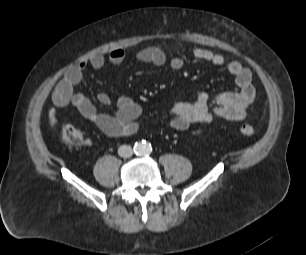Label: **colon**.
<instances>
[{"label":"colon","mask_w":306,"mask_h":255,"mask_svg":"<svg viewBox=\"0 0 306 255\" xmlns=\"http://www.w3.org/2000/svg\"><path fill=\"white\" fill-rule=\"evenodd\" d=\"M240 131L246 136H252L255 133L254 127L249 124L242 125ZM61 137L63 142L71 146H79L85 143L82 133L72 125L63 126Z\"/></svg>","instance_id":"colon-1"}]
</instances>
